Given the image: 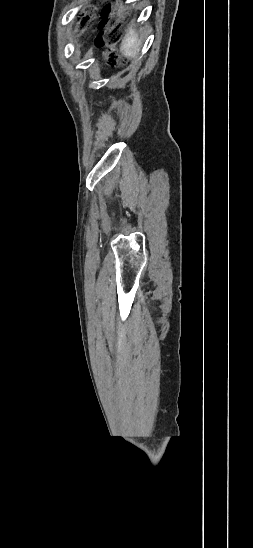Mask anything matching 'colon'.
Instances as JSON below:
<instances>
[{
	"label": "colon",
	"instance_id": "obj_1",
	"mask_svg": "<svg viewBox=\"0 0 253 548\" xmlns=\"http://www.w3.org/2000/svg\"><path fill=\"white\" fill-rule=\"evenodd\" d=\"M106 18L100 23V27L104 31L97 37L96 43L99 48L105 49L107 61L111 64H116L119 60V54L115 48L120 38V32L116 24V20L112 14V6L107 4L104 7ZM92 16L85 18L80 23L79 32H82L85 26L90 22Z\"/></svg>",
	"mask_w": 253,
	"mask_h": 548
}]
</instances>
